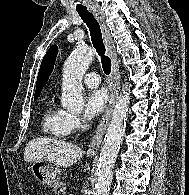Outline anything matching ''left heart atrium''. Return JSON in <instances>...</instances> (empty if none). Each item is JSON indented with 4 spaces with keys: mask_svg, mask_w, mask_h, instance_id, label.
I'll return each instance as SVG.
<instances>
[{
    "mask_svg": "<svg viewBox=\"0 0 189 195\" xmlns=\"http://www.w3.org/2000/svg\"><path fill=\"white\" fill-rule=\"evenodd\" d=\"M109 95L105 88L90 90L86 95L84 117L92 119L100 114L105 108Z\"/></svg>",
    "mask_w": 189,
    "mask_h": 195,
    "instance_id": "obj_1",
    "label": "left heart atrium"
}]
</instances>
